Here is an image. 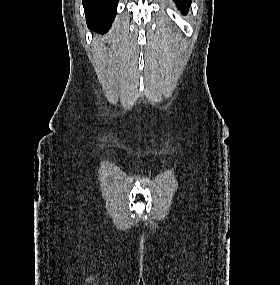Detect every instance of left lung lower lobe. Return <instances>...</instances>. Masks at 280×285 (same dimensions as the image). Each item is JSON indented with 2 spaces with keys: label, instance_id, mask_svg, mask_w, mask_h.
Wrapping results in <instances>:
<instances>
[{
  "label": "left lung lower lobe",
  "instance_id": "obj_1",
  "mask_svg": "<svg viewBox=\"0 0 280 285\" xmlns=\"http://www.w3.org/2000/svg\"><path fill=\"white\" fill-rule=\"evenodd\" d=\"M174 2L178 8L182 10V13H186L190 6L191 0H174Z\"/></svg>",
  "mask_w": 280,
  "mask_h": 285
}]
</instances>
